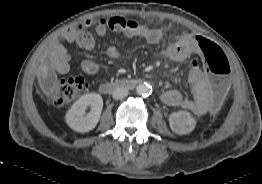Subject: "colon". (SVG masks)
Masks as SVG:
<instances>
[{
    "instance_id": "1",
    "label": "colon",
    "mask_w": 262,
    "mask_h": 184,
    "mask_svg": "<svg viewBox=\"0 0 262 184\" xmlns=\"http://www.w3.org/2000/svg\"><path fill=\"white\" fill-rule=\"evenodd\" d=\"M100 25L116 33H124L138 28L136 22L122 17L100 20ZM200 50V64L208 73L206 87L208 101L214 112H219L226 100L229 89L230 64L223 50L215 43L200 37L197 39ZM87 89L82 77L61 80L51 93L56 106L67 105L81 97Z\"/></svg>"
}]
</instances>
